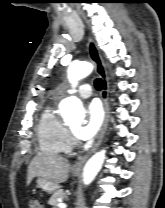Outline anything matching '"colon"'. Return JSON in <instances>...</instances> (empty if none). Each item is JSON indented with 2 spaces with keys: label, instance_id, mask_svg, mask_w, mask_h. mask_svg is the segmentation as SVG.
Returning a JSON list of instances; mask_svg holds the SVG:
<instances>
[{
  "label": "colon",
  "instance_id": "1",
  "mask_svg": "<svg viewBox=\"0 0 165 208\" xmlns=\"http://www.w3.org/2000/svg\"><path fill=\"white\" fill-rule=\"evenodd\" d=\"M28 208H44L43 204L38 199H30L28 202Z\"/></svg>",
  "mask_w": 165,
  "mask_h": 208
}]
</instances>
